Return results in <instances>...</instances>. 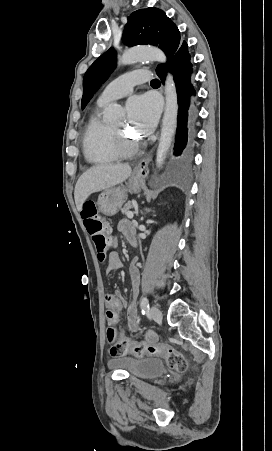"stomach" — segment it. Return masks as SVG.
<instances>
[{
    "label": "stomach",
    "instance_id": "1",
    "mask_svg": "<svg viewBox=\"0 0 272 451\" xmlns=\"http://www.w3.org/2000/svg\"><path fill=\"white\" fill-rule=\"evenodd\" d=\"M144 178H135L133 174L129 180V190L118 186V188H109V190L102 192L97 202L99 212L104 214V216H114V214H117L125 200H127V192H139L140 184L144 182Z\"/></svg>",
    "mask_w": 272,
    "mask_h": 451
}]
</instances>
